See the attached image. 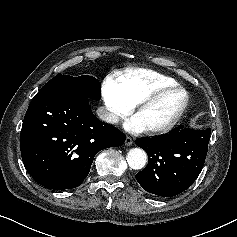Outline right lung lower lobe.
Segmentation results:
<instances>
[{
  "instance_id": "98d812e1",
  "label": "right lung lower lobe",
  "mask_w": 237,
  "mask_h": 237,
  "mask_svg": "<svg viewBox=\"0 0 237 237\" xmlns=\"http://www.w3.org/2000/svg\"><path fill=\"white\" fill-rule=\"evenodd\" d=\"M124 142L121 131L94 116L89 98L71 88H42L28 107L20 136L25 168L54 190L78 187L99 151Z\"/></svg>"
}]
</instances>
